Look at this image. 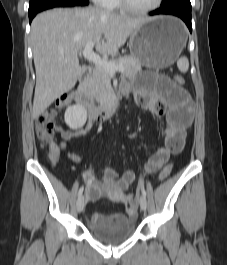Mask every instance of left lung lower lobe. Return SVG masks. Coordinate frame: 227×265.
I'll use <instances>...</instances> for the list:
<instances>
[{
  "label": "left lung lower lobe",
  "mask_w": 227,
  "mask_h": 265,
  "mask_svg": "<svg viewBox=\"0 0 227 265\" xmlns=\"http://www.w3.org/2000/svg\"><path fill=\"white\" fill-rule=\"evenodd\" d=\"M157 14H169V15H174V16L181 18L188 26L190 32H192L191 10H188V9H157L155 11L150 12V15H157Z\"/></svg>",
  "instance_id": "left-lung-lower-lobe-1"
}]
</instances>
